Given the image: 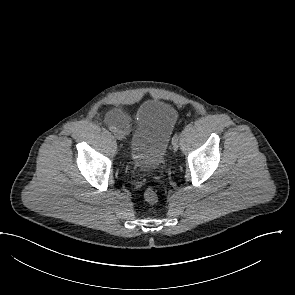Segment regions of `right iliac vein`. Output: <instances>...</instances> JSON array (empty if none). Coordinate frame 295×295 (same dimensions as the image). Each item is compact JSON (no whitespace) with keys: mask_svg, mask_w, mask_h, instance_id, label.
<instances>
[{"mask_svg":"<svg viewBox=\"0 0 295 295\" xmlns=\"http://www.w3.org/2000/svg\"><path fill=\"white\" fill-rule=\"evenodd\" d=\"M114 135H115V137L118 139V140H123L124 139V133H123V131L122 130H116L115 132H114Z\"/></svg>","mask_w":295,"mask_h":295,"instance_id":"1","label":"right iliac vein"}]
</instances>
